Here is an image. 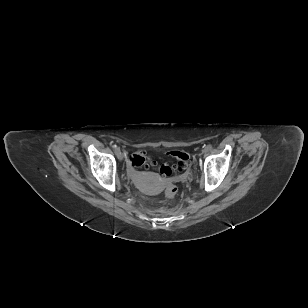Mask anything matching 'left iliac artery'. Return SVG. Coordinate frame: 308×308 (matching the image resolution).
I'll return each mask as SVG.
<instances>
[{
    "mask_svg": "<svg viewBox=\"0 0 308 308\" xmlns=\"http://www.w3.org/2000/svg\"><path fill=\"white\" fill-rule=\"evenodd\" d=\"M205 148L209 151V150L212 149V145H211V144H208Z\"/></svg>",
    "mask_w": 308,
    "mask_h": 308,
    "instance_id": "44dca946",
    "label": "left iliac artery"
}]
</instances>
